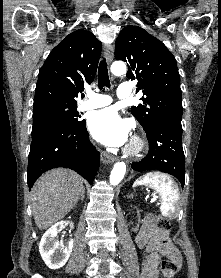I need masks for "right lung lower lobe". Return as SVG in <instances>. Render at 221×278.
<instances>
[{
	"mask_svg": "<svg viewBox=\"0 0 221 278\" xmlns=\"http://www.w3.org/2000/svg\"><path fill=\"white\" fill-rule=\"evenodd\" d=\"M100 164V154L89 141L85 121L73 128H48L32 136L27 183L31 188L45 171L66 167L91 184Z\"/></svg>",
	"mask_w": 221,
	"mask_h": 278,
	"instance_id": "right-lung-lower-lobe-1",
	"label": "right lung lower lobe"
}]
</instances>
